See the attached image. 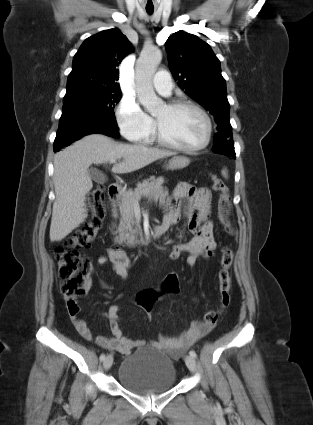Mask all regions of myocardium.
<instances>
[{
	"instance_id": "f54148a6",
	"label": "myocardium",
	"mask_w": 313,
	"mask_h": 425,
	"mask_svg": "<svg viewBox=\"0 0 313 425\" xmlns=\"http://www.w3.org/2000/svg\"><path fill=\"white\" fill-rule=\"evenodd\" d=\"M166 107L170 110H178V109H183V108H189V109H193L196 112H198L204 119L205 121V125H206V133H205V137L204 140L202 141V143H200L199 145L195 146V147H183L180 146L176 143H173L172 141L166 139L164 137V135L162 134L157 121L155 120V124H154V137L155 140L162 146L172 149V150H176L179 152H183V153H188V154H193V153H197L203 149H205L212 138V133H213V123L211 120V117L209 116V114L198 104L191 102V101H174V102H170L166 105Z\"/></svg>"
}]
</instances>
